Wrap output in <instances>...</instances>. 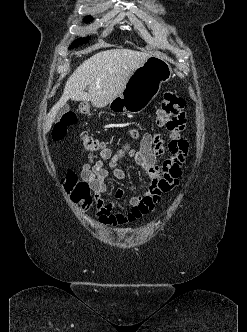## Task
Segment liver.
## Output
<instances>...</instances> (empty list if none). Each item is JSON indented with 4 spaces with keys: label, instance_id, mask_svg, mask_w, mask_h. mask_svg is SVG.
Here are the masks:
<instances>
[{
    "label": "liver",
    "instance_id": "1",
    "mask_svg": "<svg viewBox=\"0 0 247 332\" xmlns=\"http://www.w3.org/2000/svg\"><path fill=\"white\" fill-rule=\"evenodd\" d=\"M151 56L131 49H110L85 60L68 78L60 100L46 116L44 133L49 132L58 110L69 99L90 101L97 108L108 105L122 93L134 70ZM86 86L88 92L84 91Z\"/></svg>",
    "mask_w": 247,
    "mask_h": 332
}]
</instances>
